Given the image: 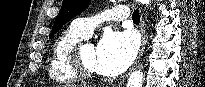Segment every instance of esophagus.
<instances>
[{"label":"esophagus","mask_w":205,"mask_h":87,"mask_svg":"<svg viewBox=\"0 0 205 87\" xmlns=\"http://www.w3.org/2000/svg\"><path fill=\"white\" fill-rule=\"evenodd\" d=\"M140 16H141V20H140V26L139 27H140V32H141V36H142V44H141V47H140V50L138 52L137 58L134 62L133 67L131 68L130 72L137 65L139 59L141 58V56L144 52V49H145V46H146V43H147L146 24H145V20H144V17H143V13L141 11H140ZM128 75L129 74H127L126 77L122 81L119 82V84L117 85L118 87H121L124 84L126 78H128Z\"/></svg>","instance_id":"obj_1"}]
</instances>
